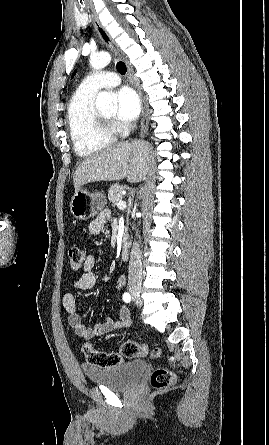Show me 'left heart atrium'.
Instances as JSON below:
<instances>
[{
  "label": "left heart atrium",
  "instance_id": "39dd6f15",
  "mask_svg": "<svg viewBox=\"0 0 269 445\" xmlns=\"http://www.w3.org/2000/svg\"><path fill=\"white\" fill-rule=\"evenodd\" d=\"M117 113L116 116L122 121H133L140 112V100L136 92L129 88H121L117 94Z\"/></svg>",
  "mask_w": 269,
  "mask_h": 445
}]
</instances>
